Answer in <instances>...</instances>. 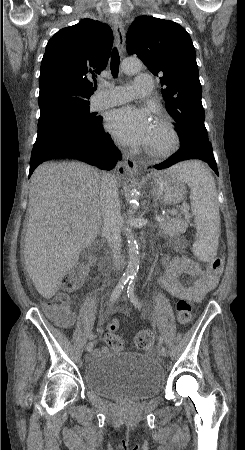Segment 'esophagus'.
<instances>
[{
	"label": "esophagus",
	"mask_w": 245,
	"mask_h": 450,
	"mask_svg": "<svg viewBox=\"0 0 245 450\" xmlns=\"http://www.w3.org/2000/svg\"><path fill=\"white\" fill-rule=\"evenodd\" d=\"M112 23H113V29L114 34L116 38V45L119 49V51L122 53L124 50V43H125V30H124V24L119 17V15L114 14L112 16ZM124 169L126 173L130 177H134L138 173V166L136 162L128 155L124 154V162H123Z\"/></svg>",
	"instance_id": "1"
}]
</instances>
